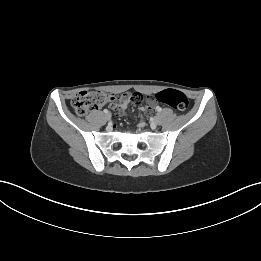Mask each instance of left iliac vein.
I'll return each instance as SVG.
<instances>
[{
  "instance_id": "obj_1",
  "label": "left iliac vein",
  "mask_w": 261,
  "mask_h": 261,
  "mask_svg": "<svg viewBox=\"0 0 261 261\" xmlns=\"http://www.w3.org/2000/svg\"><path fill=\"white\" fill-rule=\"evenodd\" d=\"M152 125H159L160 124V118L158 116H155L153 119H152Z\"/></svg>"
}]
</instances>
